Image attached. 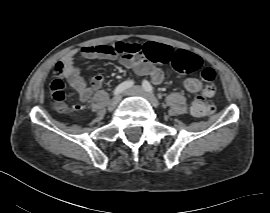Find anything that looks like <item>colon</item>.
<instances>
[{"instance_id":"obj_1","label":"colon","mask_w":270,"mask_h":213,"mask_svg":"<svg viewBox=\"0 0 270 213\" xmlns=\"http://www.w3.org/2000/svg\"><path fill=\"white\" fill-rule=\"evenodd\" d=\"M109 50L114 54L138 56L143 53V48L139 44H131L125 42H116L109 45ZM170 62L175 71L179 74H187L195 71H200L204 81L202 91L196 95L191 104V113L194 116L202 117L210 114L214 105L212 97L215 94V73L210 67L203 66L201 58L190 52L178 50L171 59H167L166 63ZM51 97L56 110L60 113L69 111L68 105L64 101L65 93L63 85L60 81H54L51 85Z\"/></svg>"}]
</instances>
